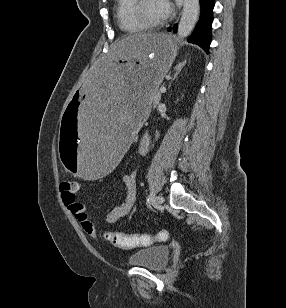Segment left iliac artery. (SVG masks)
Returning <instances> with one entry per match:
<instances>
[{
	"label": "left iliac artery",
	"mask_w": 286,
	"mask_h": 308,
	"mask_svg": "<svg viewBox=\"0 0 286 308\" xmlns=\"http://www.w3.org/2000/svg\"><path fill=\"white\" fill-rule=\"evenodd\" d=\"M155 197V191L154 189H152V191L150 192L148 198H147V205L150 206V204L152 203L153 199Z\"/></svg>",
	"instance_id": "left-iliac-artery-1"
}]
</instances>
